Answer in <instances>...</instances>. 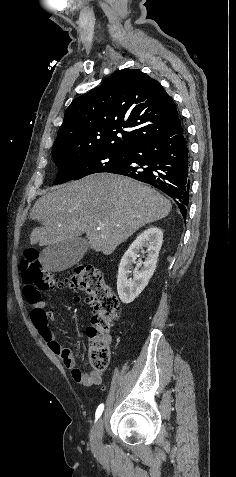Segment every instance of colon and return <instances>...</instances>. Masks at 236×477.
Listing matches in <instances>:
<instances>
[{"mask_svg": "<svg viewBox=\"0 0 236 477\" xmlns=\"http://www.w3.org/2000/svg\"><path fill=\"white\" fill-rule=\"evenodd\" d=\"M20 271L29 302L38 301L42 291L65 286L87 294L94 309L93 327L88 331V362L95 372L105 371L111 358L107 334L120 316V303L102 272L92 265H80L69 277L60 278L43 268L39 253L33 249L25 253Z\"/></svg>", "mask_w": 236, "mask_h": 477, "instance_id": "5ec220e1", "label": "colon"}]
</instances>
